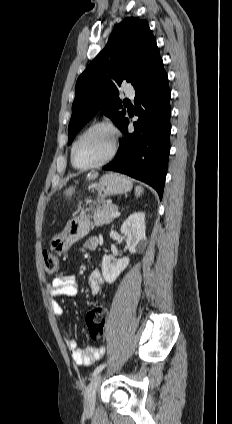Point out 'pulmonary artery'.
I'll list each match as a JSON object with an SVG mask.
<instances>
[{
    "label": "pulmonary artery",
    "mask_w": 232,
    "mask_h": 424,
    "mask_svg": "<svg viewBox=\"0 0 232 424\" xmlns=\"http://www.w3.org/2000/svg\"><path fill=\"white\" fill-rule=\"evenodd\" d=\"M125 95L128 97H134L135 91L132 87H126L125 88Z\"/></svg>",
    "instance_id": "obj_1"
}]
</instances>
